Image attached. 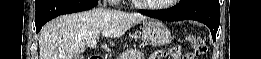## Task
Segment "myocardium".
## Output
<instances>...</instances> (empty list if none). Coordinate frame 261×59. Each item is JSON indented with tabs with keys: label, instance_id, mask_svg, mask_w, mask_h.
I'll return each mask as SVG.
<instances>
[{
	"label": "myocardium",
	"instance_id": "1",
	"mask_svg": "<svg viewBox=\"0 0 261 59\" xmlns=\"http://www.w3.org/2000/svg\"><path fill=\"white\" fill-rule=\"evenodd\" d=\"M177 0H168L167 3L164 4H150V3H142L139 1H132L136 6L142 8V9H148V10H161L168 8L172 3L176 2Z\"/></svg>",
	"mask_w": 261,
	"mask_h": 59
}]
</instances>
